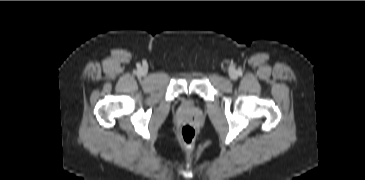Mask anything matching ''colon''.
<instances>
[{"mask_svg":"<svg viewBox=\"0 0 365 180\" xmlns=\"http://www.w3.org/2000/svg\"><path fill=\"white\" fill-rule=\"evenodd\" d=\"M195 137H196V131L194 127L189 123H185L180 129L181 140L185 144L191 145L195 141Z\"/></svg>","mask_w":365,"mask_h":180,"instance_id":"5ec220e1","label":"colon"}]
</instances>
